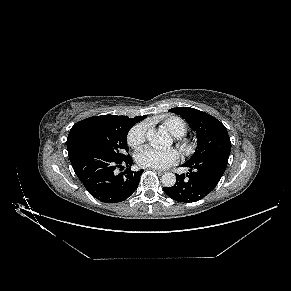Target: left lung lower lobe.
Returning <instances> with one entry per match:
<instances>
[{
    "label": "left lung lower lobe",
    "mask_w": 291,
    "mask_h": 291,
    "mask_svg": "<svg viewBox=\"0 0 291 291\" xmlns=\"http://www.w3.org/2000/svg\"><path fill=\"white\" fill-rule=\"evenodd\" d=\"M228 158L210 157L195 163H184L189 173L176 174V183L172 187H164V192L173 200L179 202H196L207 196L218 184Z\"/></svg>",
    "instance_id": "0a47b994"
}]
</instances>
